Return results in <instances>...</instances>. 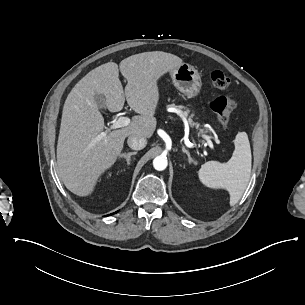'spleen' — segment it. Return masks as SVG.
Returning <instances> with one entry per match:
<instances>
[{
	"mask_svg": "<svg viewBox=\"0 0 305 305\" xmlns=\"http://www.w3.org/2000/svg\"><path fill=\"white\" fill-rule=\"evenodd\" d=\"M235 150L227 163L208 161L198 176L209 188L226 189L230 194V205L234 206L242 197L250 180L252 155L246 132H238L234 139Z\"/></svg>",
	"mask_w": 305,
	"mask_h": 305,
	"instance_id": "3e777b00",
	"label": "spleen"
}]
</instances>
